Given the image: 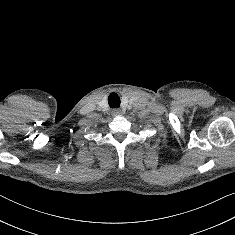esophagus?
Returning <instances> with one entry per match:
<instances>
[{
    "instance_id": "esophagus-1",
    "label": "esophagus",
    "mask_w": 235,
    "mask_h": 235,
    "mask_svg": "<svg viewBox=\"0 0 235 235\" xmlns=\"http://www.w3.org/2000/svg\"><path fill=\"white\" fill-rule=\"evenodd\" d=\"M122 113H121V110L120 109H118V108H115V109H113L112 110V116H119V115H121Z\"/></svg>"
}]
</instances>
